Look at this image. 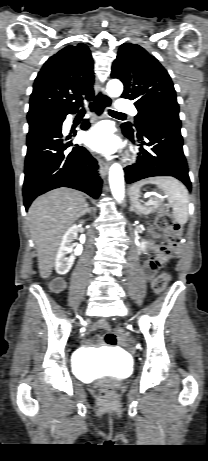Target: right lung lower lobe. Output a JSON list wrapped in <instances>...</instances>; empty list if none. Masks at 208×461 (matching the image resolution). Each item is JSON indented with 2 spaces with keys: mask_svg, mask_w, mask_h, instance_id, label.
<instances>
[{
  "mask_svg": "<svg viewBox=\"0 0 208 461\" xmlns=\"http://www.w3.org/2000/svg\"><path fill=\"white\" fill-rule=\"evenodd\" d=\"M65 118L46 123L27 134L23 184L26 210L37 196L59 187L74 188L95 199L101 193L97 161L82 146L74 145L70 149V137L62 135ZM89 127V121L85 120L81 128L87 130Z\"/></svg>",
  "mask_w": 208,
  "mask_h": 461,
  "instance_id": "obj_1",
  "label": "right lung lower lobe"
}]
</instances>
